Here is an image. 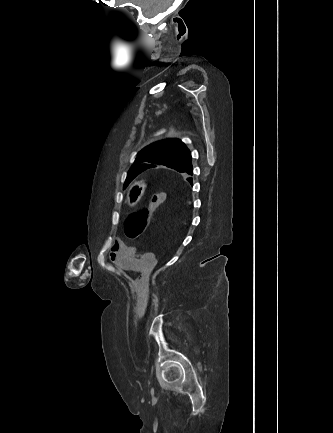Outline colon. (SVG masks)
<instances>
[{"label": "colon", "mask_w": 333, "mask_h": 433, "mask_svg": "<svg viewBox=\"0 0 333 433\" xmlns=\"http://www.w3.org/2000/svg\"><path fill=\"white\" fill-rule=\"evenodd\" d=\"M166 199V193L162 192L156 194L153 196L147 207H144L128 215L124 224V232L127 238L136 239L140 235H142L153 214L155 213L157 208L166 201Z\"/></svg>", "instance_id": "colon-1"}]
</instances>
